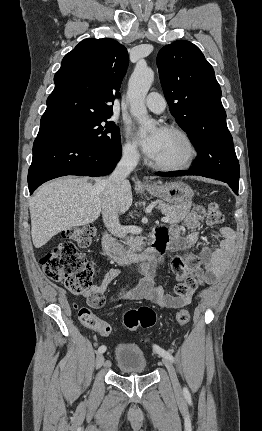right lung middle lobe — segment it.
Listing matches in <instances>:
<instances>
[{"label": "right lung middle lobe", "instance_id": "dd1d6c3e", "mask_svg": "<svg viewBox=\"0 0 262 431\" xmlns=\"http://www.w3.org/2000/svg\"><path fill=\"white\" fill-rule=\"evenodd\" d=\"M108 118L110 116L105 115L74 119L40 126L39 132L60 133L100 147L114 148L120 145V132L114 122L107 121Z\"/></svg>", "mask_w": 262, "mask_h": 431}]
</instances>
